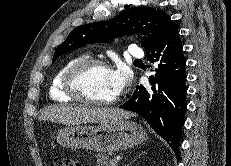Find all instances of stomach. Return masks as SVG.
<instances>
[{
	"label": "stomach",
	"mask_w": 231,
	"mask_h": 166,
	"mask_svg": "<svg viewBox=\"0 0 231 166\" xmlns=\"http://www.w3.org/2000/svg\"><path fill=\"white\" fill-rule=\"evenodd\" d=\"M128 119L97 126L66 127L56 132V140L62 147L102 153L128 149L146 139L143 127Z\"/></svg>",
	"instance_id": "stomach-1"
}]
</instances>
